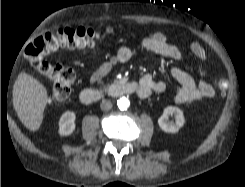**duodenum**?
<instances>
[{
    "label": "duodenum",
    "mask_w": 245,
    "mask_h": 187,
    "mask_svg": "<svg viewBox=\"0 0 245 187\" xmlns=\"http://www.w3.org/2000/svg\"><path fill=\"white\" fill-rule=\"evenodd\" d=\"M140 86L136 82L117 81L103 88H85L80 92V100L84 103L99 101L105 97H120L138 93Z\"/></svg>",
    "instance_id": "obj_1"
}]
</instances>
